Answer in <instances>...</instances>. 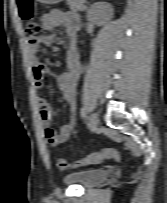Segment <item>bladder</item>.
<instances>
[{
  "instance_id": "31cf9c89",
  "label": "bladder",
  "mask_w": 167,
  "mask_h": 203,
  "mask_svg": "<svg viewBox=\"0 0 167 203\" xmlns=\"http://www.w3.org/2000/svg\"><path fill=\"white\" fill-rule=\"evenodd\" d=\"M109 172L105 169L90 168L70 172L64 175L66 183H75L83 187H91L108 179Z\"/></svg>"
}]
</instances>
